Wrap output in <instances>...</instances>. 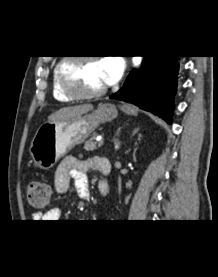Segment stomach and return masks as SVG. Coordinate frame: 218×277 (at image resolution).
<instances>
[{
	"mask_svg": "<svg viewBox=\"0 0 218 277\" xmlns=\"http://www.w3.org/2000/svg\"><path fill=\"white\" fill-rule=\"evenodd\" d=\"M120 109L129 115L136 114L129 105H121ZM117 115L116 106L105 103L90 114L42 124L29 147L34 164L44 170L52 168L75 145L84 142L100 124L112 121Z\"/></svg>",
	"mask_w": 218,
	"mask_h": 277,
	"instance_id": "obj_1",
	"label": "stomach"
}]
</instances>
